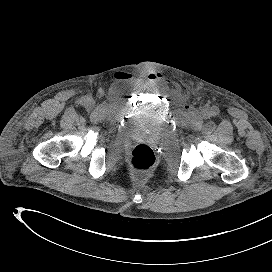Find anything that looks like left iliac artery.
<instances>
[{
    "label": "left iliac artery",
    "mask_w": 272,
    "mask_h": 272,
    "mask_svg": "<svg viewBox=\"0 0 272 272\" xmlns=\"http://www.w3.org/2000/svg\"><path fill=\"white\" fill-rule=\"evenodd\" d=\"M218 113H219V110L217 108H214L213 111H212V114L217 115Z\"/></svg>",
    "instance_id": "left-iliac-artery-1"
}]
</instances>
